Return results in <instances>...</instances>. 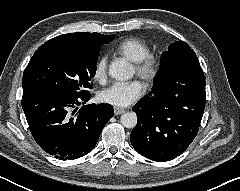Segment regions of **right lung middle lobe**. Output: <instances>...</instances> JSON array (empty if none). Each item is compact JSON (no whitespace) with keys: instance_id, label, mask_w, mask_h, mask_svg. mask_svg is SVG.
Here are the masks:
<instances>
[{"instance_id":"1","label":"right lung middle lobe","mask_w":240,"mask_h":191,"mask_svg":"<svg viewBox=\"0 0 240 191\" xmlns=\"http://www.w3.org/2000/svg\"><path fill=\"white\" fill-rule=\"evenodd\" d=\"M99 51L41 45L23 73L22 87H47L85 96L92 88L90 80L96 73Z\"/></svg>"}]
</instances>
